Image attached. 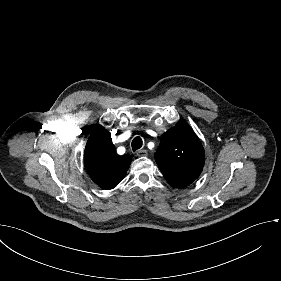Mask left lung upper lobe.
Returning a JSON list of instances; mask_svg holds the SVG:
<instances>
[{
	"label": "left lung upper lobe",
	"mask_w": 281,
	"mask_h": 281,
	"mask_svg": "<svg viewBox=\"0 0 281 281\" xmlns=\"http://www.w3.org/2000/svg\"><path fill=\"white\" fill-rule=\"evenodd\" d=\"M155 160L167 182L183 188L198 178L205 155L194 131L185 121H180L161 137Z\"/></svg>",
	"instance_id": "5c2ea615"
}]
</instances>
